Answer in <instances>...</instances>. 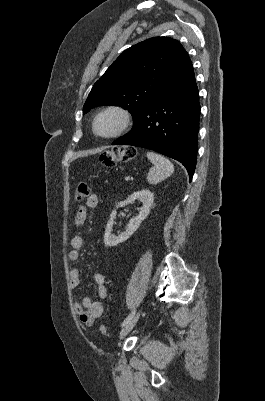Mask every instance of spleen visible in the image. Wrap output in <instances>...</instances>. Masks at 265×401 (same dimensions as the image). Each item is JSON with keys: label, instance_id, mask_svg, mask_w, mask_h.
Masks as SVG:
<instances>
[{"label": "spleen", "instance_id": "spleen-1", "mask_svg": "<svg viewBox=\"0 0 265 401\" xmlns=\"http://www.w3.org/2000/svg\"><path fill=\"white\" fill-rule=\"evenodd\" d=\"M146 156L154 164L147 174L149 184H157L172 174L174 166L168 158L157 154V152H147Z\"/></svg>", "mask_w": 265, "mask_h": 401}]
</instances>
